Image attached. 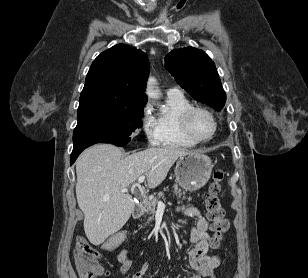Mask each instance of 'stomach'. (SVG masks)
<instances>
[{
    "mask_svg": "<svg viewBox=\"0 0 308 278\" xmlns=\"http://www.w3.org/2000/svg\"><path fill=\"white\" fill-rule=\"evenodd\" d=\"M212 168V161L208 156L199 152H189L177 161L176 181L184 190L196 191L208 182Z\"/></svg>",
    "mask_w": 308,
    "mask_h": 278,
    "instance_id": "0dacf381",
    "label": "stomach"
}]
</instances>
